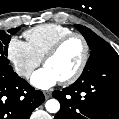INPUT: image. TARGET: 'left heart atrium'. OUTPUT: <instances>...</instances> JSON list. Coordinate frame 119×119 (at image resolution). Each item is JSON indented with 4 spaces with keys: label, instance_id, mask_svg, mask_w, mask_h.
Instances as JSON below:
<instances>
[{
    "label": "left heart atrium",
    "instance_id": "39dd6f15",
    "mask_svg": "<svg viewBox=\"0 0 119 119\" xmlns=\"http://www.w3.org/2000/svg\"><path fill=\"white\" fill-rule=\"evenodd\" d=\"M59 81L53 71L46 66L36 71L31 78V83L39 89H48Z\"/></svg>",
    "mask_w": 119,
    "mask_h": 119
}]
</instances>
